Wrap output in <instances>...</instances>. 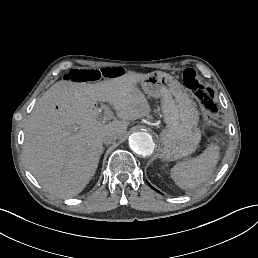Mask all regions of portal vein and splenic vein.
<instances>
[{
	"mask_svg": "<svg viewBox=\"0 0 258 258\" xmlns=\"http://www.w3.org/2000/svg\"><path fill=\"white\" fill-rule=\"evenodd\" d=\"M107 115H110V118H113L112 114L109 113V112H106ZM81 127H79L78 125L75 126V129L78 130L80 129Z\"/></svg>",
	"mask_w": 258,
	"mask_h": 258,
	"instance_id": "portal-vein-and-splenic-vein-1",
	"label": "portal vein and splenic vein"
}]
</instances>
